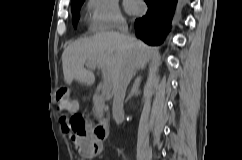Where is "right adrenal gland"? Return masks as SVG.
Here are the masks:
<instances>
[{
	"mask_svg": "<svg viewBox=\"0 0 242 160\" xmlns=\"http://www.w3.org/2000/svg\"><path fill=\"white\" fill-rule=\"evenodd\" d=\"M141 81L142 79L140 77L136 78L133 85H132V88H131V91L130 93L128 94L126 100H125V103L128 102V100L133 96V95H138L141 93L140 91V85H141Z\"/></svg>",
	"mask_w": 242,
	"mask_h": 160,
	"instance_id": "2a0ac1e0",
	"label": "right adrenal gland"
}]
</instances>
